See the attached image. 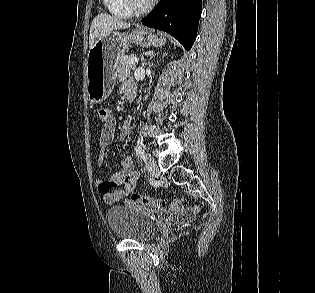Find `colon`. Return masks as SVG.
<instances>
[{
    "label": "colon",
    "instance_id": "obj_1",
    "mask_svg": "<svg viewBox=\"0 0 315 293\" xmlns=\"http://www.w3.org/2000/svg\"><path fill=\"white\" fill-rule=\"evenodd\" d=\"M97 116L103 125L108 121L110 112L106 108H100L97 111ZM128 203L132 205L155 207L158 208V211H167L166 208L169 207L175 212V220L181 224H188L195 214V209L193 208L182 209L180 200L176 198L171 199L169 203H167L161 199L134 193L129 197Z\"/></svg>",
    "mask_w": 315,
    "mask_h": 293
}]
</instances>
